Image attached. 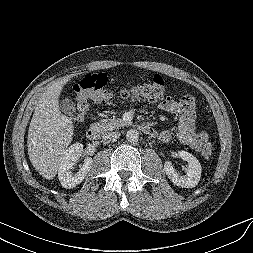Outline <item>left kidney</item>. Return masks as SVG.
Returning <instances> with one entry per match:
<instances>
[{
    "instance_id": "left-kidney-1",
    "label": "left kidney",
    "mask_w": 253,
    "mask_h": 253,
    "mask_svg": "<svg viewBox=\"0 0 253 253\" xmlns=\"http://www.w3.org/2000/svg\"><path fill=\"white\" fill-rule=\"evenodd\" d=\"M176 155L188 162L184 177L179 176L170 161L164 164V171L168 178L177 186L182 188H193L198 185L201 178V165L196 157L186 151H178Z\"/></svg>"
}]
</instances>
